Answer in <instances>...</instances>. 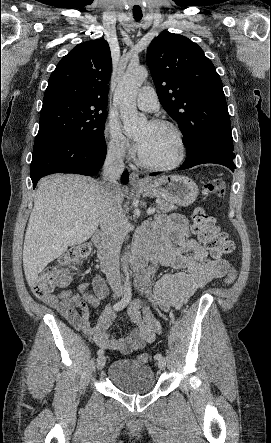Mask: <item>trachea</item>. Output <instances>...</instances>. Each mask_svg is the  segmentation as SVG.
Masks as SVG:
<instances>
[{"label": "trachea", "mask_w": 271, "mask_h": 443, "mask_svg": "<svg viewBox=\"0 0 271 443\" xmlns=\"http://www.w3.org/2000/svg\"><path fill=\"white\" fill-rule=\"evenodd\" d=\"M130 7L132 8V16L136 21L141 20L143 11L141 9V2L139 0H129Z\"/></svg>", "instance_id": "obj_1"}]
</instances>
